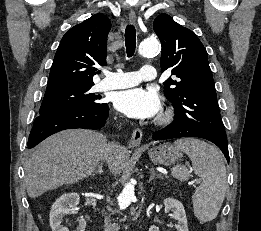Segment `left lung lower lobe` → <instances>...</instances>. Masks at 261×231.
<instances>
[{
  "mask_svg": "<svg viewBox=\"0 0 261 231\" xmlns=\"http://www.w3.org/2000/svg\"><path fill=\"white\" fill-rule=\"evenodd\" d=\"M178 137H199L207 139L216 144L222 150L224 156L229 162L227 140L212 138L182 120H174L170 125L155 132L152 136L153 140H165Z\"/></svg>",
  "mask_w": 261,
  "mask_h": 231,
  "instance_id": "1",
  "label": "left lung lower lobe"
}]
</instances>
